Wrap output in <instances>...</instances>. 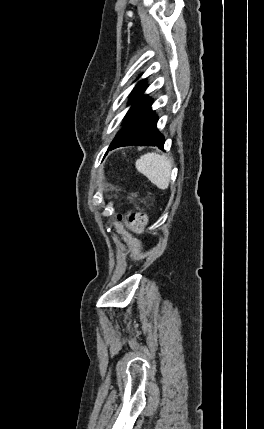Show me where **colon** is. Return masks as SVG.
<instances>
[{
	"label": "colon",
	"mask_w": 264,
	"mask_h": 429,
	"mask_svg": "<svg viewBox=\"0 0 264 429\" xmlns=\"http://www.w3.org/2000/svg\"><path fill=\"white\" fill-rule=\"evenodd\" d=\"M146 221L147 217L141 211L135 212L130 216L131 225L135 230H140L144 226Z\"/></svg>",
	"instance_id": "1"
}]
</instances>
